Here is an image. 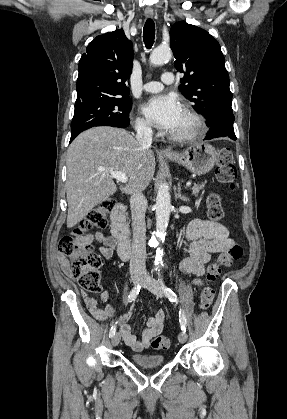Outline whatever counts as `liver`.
<instances>
[{
  "label": "liver",
  "mask_w": 287,
  "mask_h": 419,
  "mask_svg": "<svg viewBox=\"0 0 287 419\" xmlns=\"http://www.w3.org/2000/svg\"><path fill=\"white\" fill-rule=\"evenodd\" d=\"M67 227L77 225L98 204L117 191L109 170L126 174L125 193L144 190L155 172V156L128 132L95 127L82 132L67 151ZM104 169L105 171H101Z\"/></svg>",
  "instance_id": "6515ba94"
}]
</instances>
